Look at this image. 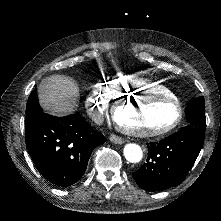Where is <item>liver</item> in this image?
<instances>
[{
  "instance_id": "1",
  "label": "liver",
  "mask_w": 221,
  "mask_h": 221,
  "mask_svg": "<svg viewBox=\"0 0 221 221\" xmlns=\"http://www.w3.org/2000/svg\"><path fill=\"white\" fill-rule=\"evenodd\" d=\"M38 92L41 106L53 115H68L77 107L78 85L68 76L56 74L43 79Z\"/></svg>"
}]
</instances>
